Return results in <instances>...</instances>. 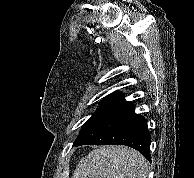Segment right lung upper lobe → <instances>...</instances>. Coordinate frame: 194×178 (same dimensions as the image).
Masks as SVG:
<instances>
[{
	"label": "right lung upper lobe",
	"mask_w": 194,
	"mask_h": 178,
	"mask_svg": "<svg viewBox=\"0 0 194 178\" xmlns=\"http://www.w3.org/2000/svg\"><path fill=\"white\" fill-rule=\"evenodd\" d=\"M104 101L119 102L124 105L128 103L127 101L124 100L123 96L120 93L108 95L106 98H104Z\"/></svg>",
	"instance_id": "right-lung-upper-lobe-1"
}]
</instances>
